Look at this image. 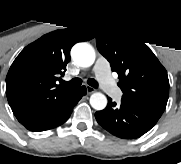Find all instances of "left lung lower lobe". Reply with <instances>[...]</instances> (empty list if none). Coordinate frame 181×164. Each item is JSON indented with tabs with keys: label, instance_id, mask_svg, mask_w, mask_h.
<instances>
[{
	"label": "left lung lower lobe",
	"instance_id": "obj_1",
	"mask_svg": "<svg viewBox=\"0 0 181 164\" xmlns=\"http://www.w3.org/2000/svg\"><path fill=\"white\" fill-rule=\"evenodd\" d=\"M162 113L152 108L121 100L120 104L108 98L107 107L95 113L97 122L111 134L123 139H135L148 132Z\"/></svg>",
	"mask_w": 181,
	"mask_h": 164
}]
</instances>
